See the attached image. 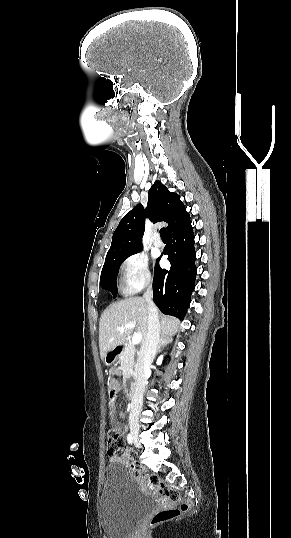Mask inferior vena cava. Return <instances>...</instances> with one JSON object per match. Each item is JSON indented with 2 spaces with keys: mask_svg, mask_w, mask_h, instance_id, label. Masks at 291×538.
Here are the masks:
<instances>
[{
  "mask_svg": "<svg viewBox=\"0 0 291 538\" xmlns=\"http://www.w3.org/2000/svg\"><path fill=\"white\" fill-rule=\"evenodd\" d=\"M143 297L148 303V327L145 339L140 349L139 371L136 379L135 392L133 394L130 404V423L138 421V415L142 407L143 393L147 383V375L150 366L155 358L158 344L160 341V323L158 318V310L152 301L153 292L151 285H148Z\"/></svg>",
  "mask_w": 291,
  "mask_h": 538,
  "instance_id": "obj_1",
  "label": "inferior vena cava"
}]
</instances>
